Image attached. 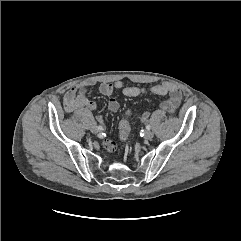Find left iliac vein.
<instances>
[{
  "label": "left iliac vein",
  "instance_id": "left-iliac-vein-1",
  "mask_svg": "<svg viewBox=\"0 0 241 241\" xmlns=\"http://www.w3.org/2000/svg\"><path fill=\"white\" fill-rule=\"evenodd\" d=\"M154 134L152 131H146L145 134H144V139L145 140H151L153 138Z\"/></svg>",
  "mask_w": 241,
  "mask_h": 241
}]
</instances>
